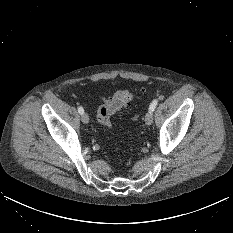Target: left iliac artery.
I'll return each mask as SVG.
<instances>
[{
    "mask_svg": "<svg viewBox=\"0 0 233 233\" xmlns=\"http://www.w3.org/2000/svg\"><path fill=\"white\" fill-rule=\"evenodd\" d=\"M157 104H158V99H154L152 101V103L150 104L149 110L153 112L155 110Z\"/></svg>",
    "mask_w": 233,
    "mask_h": 233,
    "instance_id": "obj_1",
    "label": "left iliac artery"
}]
</instances>
